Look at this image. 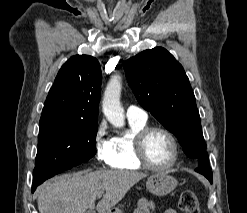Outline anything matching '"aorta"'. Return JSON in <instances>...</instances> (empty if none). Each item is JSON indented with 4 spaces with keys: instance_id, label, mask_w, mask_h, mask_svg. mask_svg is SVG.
<instances>
[{
    "instance_id": "762f6f07",
    "label": "aorta",
    "mask_w": 247,
    "mask_h": 213,
    "mask_svg": "<svg viewBox=\"0 0 247 213\" xmlns=\"http://www.w3.org/2000/svg\"><path fill=\"white\" fill-rule=\"evenodd\" d=\"M121 89V77L113 76L105 89L102 100L103 113L115 127H123L125 124L124 109L120 103Z\"/></svg>"
}]
</instances>
